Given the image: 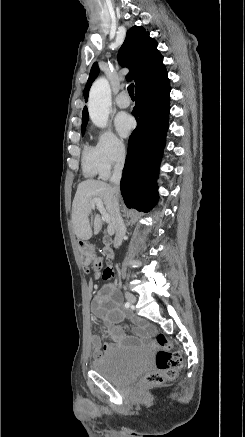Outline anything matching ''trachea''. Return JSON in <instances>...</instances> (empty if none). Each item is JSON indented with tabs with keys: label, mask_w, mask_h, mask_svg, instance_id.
<instances>
[{
	"label": "trachea",
	"mask_w": 245,
	"mask_h": 437,
	"mask_svg": "<svg viewBox=\"0 0 245 437\" xmlns=\"http://www.w3.org/2000/svg\"><path fill=\"white\" fill-rule=\"evenodd\" d=\"M128 93H129L131 98L134 97V84L133 83L128 86Z\"/></svg>",
	"instance_id": "trachea-1"
}]
</instances>
